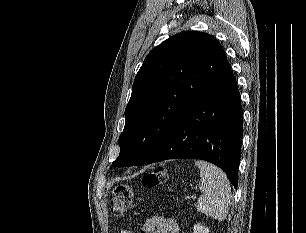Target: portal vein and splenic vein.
<instances>
[{
  "label": "portal vein and splenic vein",
  "mask_w": 306,
  "mask_h": 233,
  "mask_svg": "<svg viewBox=\"0 0 306 233\" xmlns=\"http://www.w3.org/2000/svg\"><path fill=\"white\" fill-rule=\"evenodd\" d=\"M192 198H196V196H195V195H192Z\"/></svg>",
  "instance_id": "obj_1"
}]
</instances>
